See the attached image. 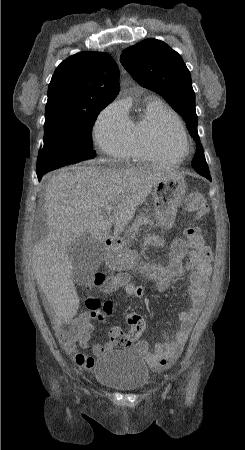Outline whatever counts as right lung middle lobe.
Here are the masks:
<instances>
[{
    "mask_svg": "<svg viewBox=\"0 0 245 450\" xmlns=\"http://www.w3.org/2000/svg\"><path fill=\"white\" fill-rule=\"evenodd\" d=\"M108 104L89 111L53 109L45 112L44 146L36 172H48L82 160L93 159L92 124Z\"/></svg>",
    "mask_w": 245,
    "mask_h": 450,
    "instance_id": "dd1d6c3e",
    "label": "right lung middle lobe"
}]
</instances>
